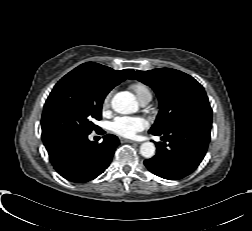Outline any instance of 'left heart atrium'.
<instances>
[{"mask_svg": "<svg viewBox=\"0 0 252 231\" xmlns=\"http://www.w3.org/2000/svg\"><path fill=\"white\" fill-rule=\"evenodd\" d=\"M148 122L143 117L119 116L111 123V130L123 137H134L147 128Z\"/></svg>", "mask_w": 252, "mask_h": 231, "instance_id": "1", "label": "left heart atrium"}]
</instances>
